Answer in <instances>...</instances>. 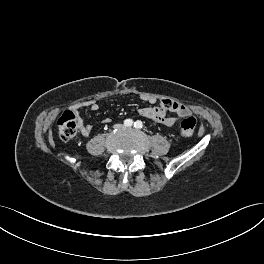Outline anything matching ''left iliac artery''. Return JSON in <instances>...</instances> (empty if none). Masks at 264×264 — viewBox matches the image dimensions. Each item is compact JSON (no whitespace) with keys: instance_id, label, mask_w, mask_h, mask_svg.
Instances as JSON below:
<instances>
[{"instance_id":"44dca946","label":"left iliac artery","mask_w":264,"mask_h":264,"mask_svg":"<svg viewBox=\"0 0 264 264\" xmlns=\"http://www.w3.org/2000/svg\"><path fill=\"white\" fill-rule=\"evenodd\" d=\"M134 127L137 129H141L143 127V124L141 121L138 120L134 123Z\"/></svg>"}]
</instances>
